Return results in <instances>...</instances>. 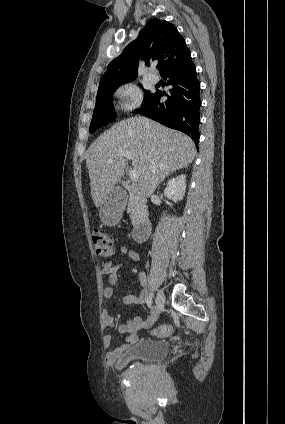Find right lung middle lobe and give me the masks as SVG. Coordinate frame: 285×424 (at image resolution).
<instances>
[{
  "mask_svg": "<svg viewBox=\"0 0 285 424\" xmlns=\"http://www.w3.org/2000/svg\"><path fill=\"white\" fill-rule=\"evenodd\" d=\"M127 83V82H124ZM118 83L103 88H99L96 97V105L93 113V117L90 124V133H93L98 128L108 124L115 118L114 107L112 103V97L116 89L124 84ZM154 93L145 90L144 102L145 104Z\"/></svg>",
  "mask_w": 285,
  "mask_h": 424,
  "instance_id": "1",
  "label": "right lung middle lobe"
}]
</instances>
